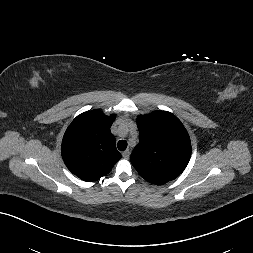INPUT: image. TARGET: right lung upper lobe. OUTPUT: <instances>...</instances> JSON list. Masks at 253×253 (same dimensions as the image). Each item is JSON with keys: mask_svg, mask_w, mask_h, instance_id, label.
<instances>
[{"mask_svg": "<svg viewBox=\"0 0 253 253\" xmlns=\"http://www.w3.org/2000/svg\"><path fill=\"white\" fill-rule=\"evenodd\" d=\"M116 116L99 110L77 116L67 128L62 141V158L67 168L84 181L107 175L120 160L110 127Z\"/></svg>", "mask_w": 253, "mask_h": 253, "instance_id": "1", "label": "right lung upper lobe"}]
</instances>
